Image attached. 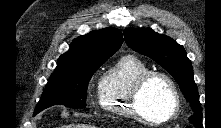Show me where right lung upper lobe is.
<instances>
[{
  "mask_svg": "<svg viewBox=\"0 0 221 128\" xmlns=\"http://www.w3.org/2000/svg\"><path fill=\"white\" fill-rule=\"evenodd\" d=\"M122 42V33L113 28L92 31L78 37L72 42L68 52L59 57L55 71L69 70L104 60L118 51Z\"/></svg>",
  "mask_w": 221,
  "mask_h": 128,
  "instance_id": "obj_1",
  "label": "right lung upper lobe"
}]
</instances>
